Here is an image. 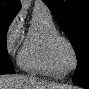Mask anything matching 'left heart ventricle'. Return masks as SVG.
I'll list each match as a JSON object with an SVG mask.
<instances>
[{
  "instance_id": "left-heart-ventricle-1",
  "label": "left heart ventricle",
  "mask_w": 89,
  "mask_h": 89,
  "mask_svg": "<svg viewBox=\"0 0 89 89\" xmlns=\"http://www.w3.org/2000/svg\"><path fill=\"white\" fill-rule=\"evenodd\" d=\"M60 54L65 66L71 67L73 65V55L71 51L63 45L60 47Z\"/></svg>"
}]
</instances>
